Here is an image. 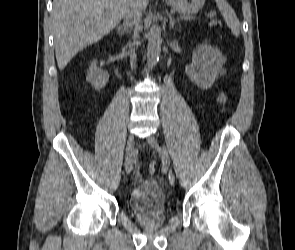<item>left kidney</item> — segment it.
Masks as SVG:
<instances>
[{"label": "left kidney", "mask_w": 295, "mask_h": 250, "mask_svg": "<svg viewBox=\"0 0 295 250\" xmlns=\"http://www.w3.org/2000/svg\"><path fill=\"white\" fill-rule=\"evenodd\" d=\"M225 58L210 45H200L192 55V63L185 67L189 79L202 89L210 88L222 72Z\"/></svg>", "instance_id": "left-kidney-1"}]
</instances>
